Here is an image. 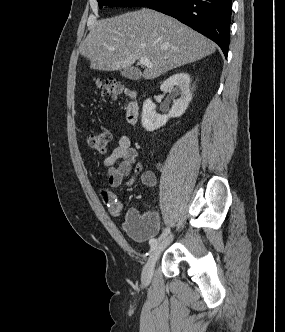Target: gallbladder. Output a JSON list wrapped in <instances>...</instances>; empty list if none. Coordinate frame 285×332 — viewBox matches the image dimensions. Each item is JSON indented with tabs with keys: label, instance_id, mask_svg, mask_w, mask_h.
<instances>
[{
	"label": "gallbladder",
	"instance_id": "bac80fb5",
	"mask_svg": "<svg viewBox=\"0 0 285 332\" xmlns=\"http://www.w3.org/2000/svg\"><path fill=\"white\" fill-rule=\"evenodd\" d=\"M121 75L129 80H139L141 71L138 68L129 67L121 71Z\"/></svg>",
	"mask_w": 285,
	"mask_h": 332
}]
</instances>
